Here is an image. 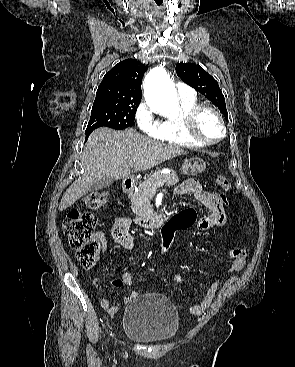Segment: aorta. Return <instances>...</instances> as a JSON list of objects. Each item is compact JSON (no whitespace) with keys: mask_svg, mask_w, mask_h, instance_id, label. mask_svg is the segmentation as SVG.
I'll return each instance as SVG.
<instances>
[{"mask_svg":"<svg viewBox=\"0 0 295 367\" xmlns=\"http://www.w3.org/2000/svg\"><path fill=\"white\" fill-rule=\"evenodd\" d=\"M144 96L152 111L169 118L179 115L177 92L162 66L153 68L145 77Z\"/></svg>","mask_w":295,"mask_h":367,"instance_id":"1","label":"aorta"}]
</instances>
